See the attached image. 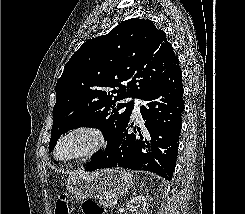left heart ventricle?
Wrapping results in <instances>:
<instances>
[{"instance_id":"left-heart-ventricle-1","label":"left heart ventricle","mask_w":245,"mask_h":214,"mask_svg":"<svg viewBox=\"0 0 245 214\" xmlns=\"http://www.w3.org/2000/svg\"><path fill=\"white\" fill-rule=\"evenodd\" d=\"M92 142V138L87 134L73 135L61 144L58 155L61 158L74 156L88 149Z\"/></svg>"}]
</instances>
